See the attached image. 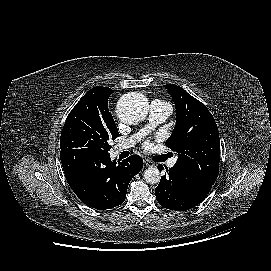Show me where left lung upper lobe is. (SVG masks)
<instances>
[{
    "mask_svg": "<svg viewBox=\"0 0 271 271\" xmlns=\"http://www.w3.org/2000/svg\"><path fill=\"white\" fill-rule=\"evenodd\" d=\"M176 106V125L166 146L178 153L176 165L214 184L219 173L220 140L207 107L175 84L165 85Z\"/></svg>",
    "mask_w": 271,
    "mask_h": 271,
    "instance_id": "obj_1",
    "label": "left lung upper lobe"
}]
</instances>
